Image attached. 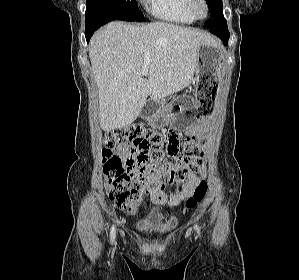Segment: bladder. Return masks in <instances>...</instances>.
<instances>
[{
    "instance_id": "31cf9c89",
    "label": "bladder",
    "mask_w": 299,
    "mask_h": 280,
    "mask_svg": "<svg viewBox=\"0 0 299 280\" xmlns=\"http://www.w3.org/2000/svg\"><path fill=\"white\" fill-rule=\"evenodd\" d=\"M177 225L178 217L176 215L157 211L140 221L135 228L144 235L163 237L170 235Z\"/></svg>"
}]
</instances>
